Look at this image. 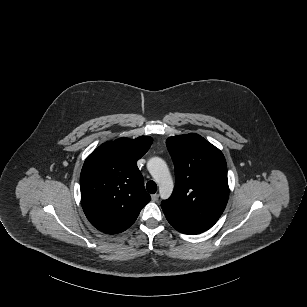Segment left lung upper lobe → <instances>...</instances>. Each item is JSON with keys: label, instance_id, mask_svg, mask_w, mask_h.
I'll list each match as a JSON object with an SVG mask.
<instances>
[{"label": "left lung upper lobe", "instance_id": "left-lung-upper-lobe-1", "mask_svg": "<svg viewBox=\"0 0 307 307\" xmlns=\"http://www.w3.org/2000/svg\"><path fill=\"white\" fill-rule=\"evenodd\" d=\"M175 187L162 201L165 216L187 230L202 233L223 213L228 197L227 165L222 152L198 134L169 137Z\"/></svg>", "mask_w": 307, "mask_h": 307}]
</instances>
